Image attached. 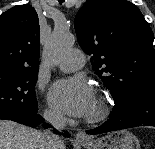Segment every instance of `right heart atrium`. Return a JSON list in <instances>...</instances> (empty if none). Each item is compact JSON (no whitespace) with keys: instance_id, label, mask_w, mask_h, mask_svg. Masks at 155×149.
Segmentation results:
<instances>
[{"instance_id":"right-heart-atrium-1","label":"right heart atrium","mask_w":155,"mask_h":149,"mask_svg":"<svg viewBox=\"0 0 155 149\" xmlns=\"http://www.w3.org/2000/svg\"><path fill=\"white\" fill-rule=\"evenodd\" d=\"M44 117L51 123L61 124L65 121L63 114L55 108H46Z\"/></svg>"}]
</instances>
